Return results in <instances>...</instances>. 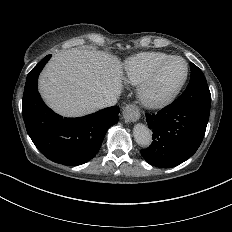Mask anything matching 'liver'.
<instances>
[{"instance_id":"liver-1","label":"liver","mask_w":232,"mask_h":232,"mask_svg":"<svg viewBox=\"0 0 232 232\" xmlns=\"http://www.w3.org/2000/svg\"><path fill=\"white\" fill-rule=\"evenodd\" d=\"M120 60L104 51L72 48L56 53L39 77V92L55 112L77 117L96 111L93 103L122 91Z\"/></svg>"}]
</instances>
